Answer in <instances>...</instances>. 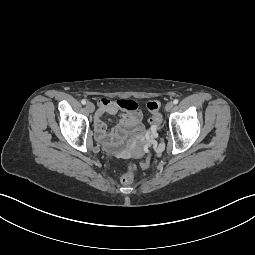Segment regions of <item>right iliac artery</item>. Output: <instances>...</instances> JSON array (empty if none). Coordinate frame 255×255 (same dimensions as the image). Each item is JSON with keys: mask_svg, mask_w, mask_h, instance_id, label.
<instances>
[{"mask_svg": "<svg viewBox=\"0 0 255 255\" xmlns=\"http://www.w3.org/2000/svg\"><path fill=\"white\" fill-rule=\"evenodd\" d=\"M81 103H82L83 105H85V104H86V100H85V99H82V100H81Z\"/></svg>", "mask_w": 255, "mask_h": 255, "instance_id": "right-iliac-artery-1", "label": "right iliac artery"}]
</instances>
